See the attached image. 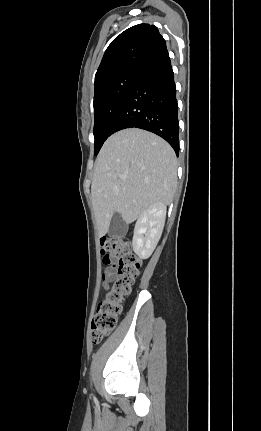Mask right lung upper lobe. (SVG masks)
<instances>
[{"mask_svg": "<svg viewBox=\"0 0 261 431\" xmlns=\"http://www.w3.org/2000/svg\"><path fill=\"white\" fill-rule=\"evenodd\" d=\"M167 51L157 27L135 25L117 36L104 53L95 75V88L127 71H140Z\"/></svg>", "mask_w": 261, "mask_h": 431, "instance_id": "cb5924a9", "label": "right lung upper lobe"}]
</instances>
